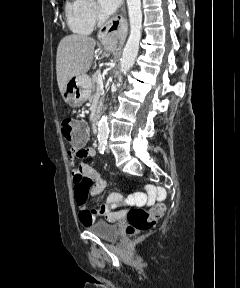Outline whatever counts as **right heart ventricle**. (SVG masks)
Masks as SVG:
<instances>
[{"mask_svg":"<svg viewBox=\"0 0 240 288\" xmlns=\"http://www.w3.org/2000/svg\"><path fill=\"white\" fill-rule=\"evenodd\" d=\"M65 15L69 28L76 34L91 33L94 22L86 12L85 0H68L65 5Z\"/></svg>","mask_w":240,"mask_h":288,"instance_id":"right-heart-ventricle-1","label":"right heart ventricle"}]
</instances>
